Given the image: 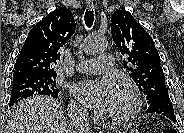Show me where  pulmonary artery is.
<instances>
[{
  "mask_svg": "<svg viewBox=\"0 0 184 133\" xmlns=\"http://www.w3.org/2000/svg\"><path fill=\"white\" fill-rule=\"evenodd\" d=\"M114 64V57L111 54H102L95 59H86L77 64V70L84 73L98 74L111 68Z\"/></svg>",
  "mask_w": 184,
  "mask_h": 133,
  "instance_id": "obj_1",
  "label": "pulmonary artery"
}]
</instances>
